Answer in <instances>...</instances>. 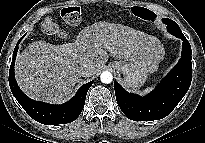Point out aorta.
<instances>
[{
  "mask_svg": "<svg viewBox=\"0 0 205 143\" xmlns=\"http://www.w3.org/2000/svg\"><path fill=\"white\" fill-rule=\"evenodd\" d=\"M100 80L102 83L109 84L113 80V75L109 71H104L101 73Z\"/></svg>",
  "mask_w": 205,
  "mask_h": 143,
  "instance_id": "aorta-1",
  "label": "aorta"
}]
</instances>
